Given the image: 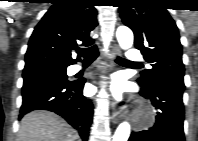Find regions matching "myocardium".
<instances>
[{
	"mask_svg": "<svg viewBox=\"0 0 198 141\" xmlns=\"http://www.w3.org/2000/svg\"><path fill=\"white\" fill-rule=\"evenodd\" d=\"M152 121V113L148 107H144L136 117V123L138 125H146Z\"/></svg>",
	"mask_w": 198,
	"mask_h": 141,
	"instance_id": "obj_1",
	"label": "myocardium"
}]
</instances>
